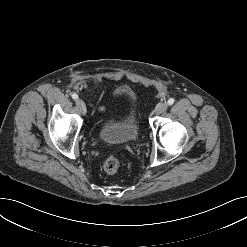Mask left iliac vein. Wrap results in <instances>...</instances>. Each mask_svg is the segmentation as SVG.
Wrapping results in <instances>:
<instances>
[{
    "mask_svg": "<svg viewBox=\"0 0 247 247\" xmlns=\"http://www.w3.org/2000/svg\"><path fill=\"white\" fill-rule=\"evenodd\" d=\"M168 108V104L166 102H161L159 103L156 108H155V113L156 114H161L165 112Z\"/></svg>",
    "mask_w": 247,
    "mask_h": 247,
    "instance_id": "obj_1",
    "label": "left iliac vein"
}]
</instances>
